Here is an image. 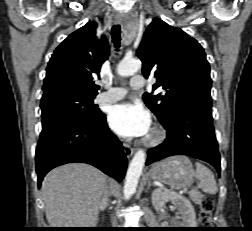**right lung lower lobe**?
<instances>
[{"label":"right lung lower lobe","mask_w":252,"mask_h":231,"mask_svg":"<svg viewBox=\"0 0 252 231\" xmlns=\"http://www.w3.org/2000/svg\"><path fill=\"white\" fill-rule=\"evenodd\" d=\"M35 160L38 185L51 169L66 163L93 165L118 181L124 178L127 167L122 144L108 128L102 112L89 121L61 119L43 126Z\"/></svg>","instance_id":"1"}]
</instances>
